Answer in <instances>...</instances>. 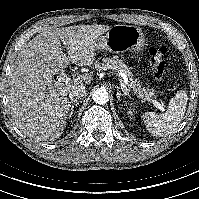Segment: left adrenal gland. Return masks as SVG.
Wrapping results in <instances>:
<instances>
[{
    "label": "left adrenal gland",
    "mask_w": 199,
    "mask_h": 199,
    "mask_svg": "<svg viewBox=\"0 0 199 199\" xmlns=\"http://www.w3.org/2000/svg\"><path fill=\"white\" fill-rule=\"evenodd\" d=\"M116 97H117L118 101H119L120 98H121V92H120V90H119V87H117Z\"/></svg>",
    "instance_id": "1"
}]
</instances>
